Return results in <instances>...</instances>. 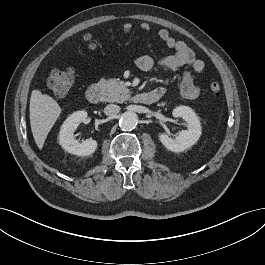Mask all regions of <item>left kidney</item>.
<instances>
[{
	"mask_svg": "<svg viewBox=\"0 0 265 265\" xmlns=\"http://www.w3.org/2000/svg\"><path fill=\"white\" fill-rule=\"evenodd\" d=\"M175 118H182L186 121L187 130H183L173 139L166 133L159 134L160 142L172 152H182L193 146L200 138L202 127L197 114L187 106H178L173 112Z\"/></svg>",
	"mask_w": 265,
	"mask_h": 265,
	"instance_id": "obj_1",
	"label": "left kidney"
}]
</instances>
